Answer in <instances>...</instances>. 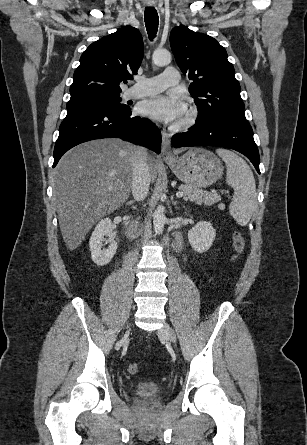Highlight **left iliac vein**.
<instances>
[{
	"label": "left iliac vein",
	"mask_w": 307,
	"mask_h": 445,
	"mask_svg": "<svg viewBox=\"0 0 307 445\" xmlns=\"http://www.w3.org/2000/svg\"><path fill=\"white\" fill-rule=\"evenodd\" d=\"M158 334L169 340L170 342H175L176 341V335L174 330L170 327L169 324L164 323V325L158 330Z\"/></svg>",
	"instance_id": "4c4485c4"
}]
</instances>
